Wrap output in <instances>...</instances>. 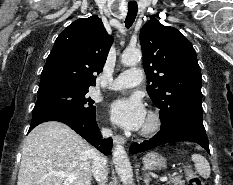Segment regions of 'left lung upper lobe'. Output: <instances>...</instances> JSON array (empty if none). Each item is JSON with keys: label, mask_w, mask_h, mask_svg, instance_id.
<instances>
[{"label": "left lung upper lobe", "mask_w": 233, "mask_h": 185, "mask_svg": "<svg viewBox=\"0 0 233 185\" xmlns=\"http://www.w3.org/2000/svg\"><path fill=\"white\" fill-rule=\"evenodd\" d=\"M147 92L160 109L161 128L201 103L202 76L195 50L177 29L151 18L140 31Z\"/></svg>", "instance_id": "5c2ea615"}]
</instances>
